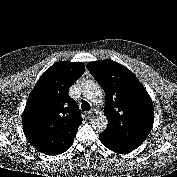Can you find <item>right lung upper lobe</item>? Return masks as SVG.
Wrapping results in <instances>:
<instances>
[{
  "instance_id": "right-lung-upper-lobe-1",
  "label": "right lung upper lobe",
  "mask_w": 177,
  "mask_h": 177,
  "mask_svg": "<svg viewBox=\"0 0 177 177\" xmlns=\"http://www.w3.org/2000/svg\"><path fill=\"white\" fill-rule=\"evenodd\" d=\"M84 70L82 63H55L42 74L28 98L23 114L25 134L50 154L70 143L82 122L68 90Z\"/></svg>"
}]
</instances>
